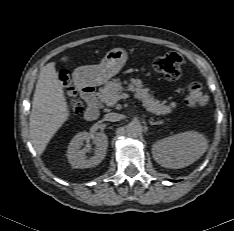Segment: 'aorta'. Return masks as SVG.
I'll list each match as a JSON object with an SVG mask.
<instances>
[{"mask_svg":"<svg viewBox=\"0 0 234 231\" xmlns=\"http://www.w3.org/2000/svg\"><path fill=\"white\" fill-rule=\"evenodd\" d=\"M126 132L130 137H138L142 133V125L138 121H132L126 126Z\"/></svg>","mask_w":234,"mask_h":231,"instance_id":"aorta-1","label":"aorta"}]
</instances>
